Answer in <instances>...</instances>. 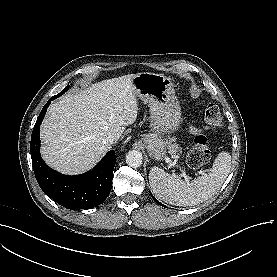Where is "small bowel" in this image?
Listing matches in <instances>:
<instances>
[{"mask_svg": "<svg viewBox=\"0 0 277 277\" xmlns=\"http://www.w3.org/2000/svg\"><path fill=\"white\" fill-rule=\"evenodd\" d=\"M189 133L192 135H197L200 133V129L197 126L192 125L189 127Z\"/></svg>", "mask_w": 277, "mask_h": 277, "instance_id": "small-bowel-1", "label": "small bowel"}]
</instances>
